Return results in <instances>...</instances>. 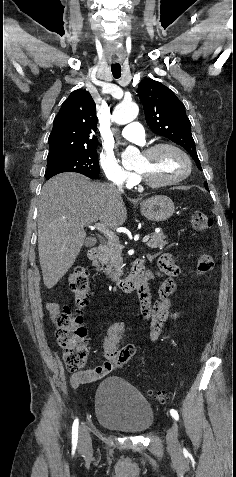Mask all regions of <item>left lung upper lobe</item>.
Masks as SVG:
<instances>
[{"label":"left lung upper lobe","mask_w":236,"mask_h":477,"mask_svg":"<svg viewBox=\"0 0 236 477\" xmlns=\"http://www.w3.org/2000/svg\"><path fill=\"white\" fill-rule=\"evenodd\" d=\"M138 94L150 129L182 146L202 171L183 103L172 90L150 78L139 83ZM204 185L208 190L207 182Z\"/></svg>","instance_id":"left-lung-upper-lobe-1"}]
</instances>
